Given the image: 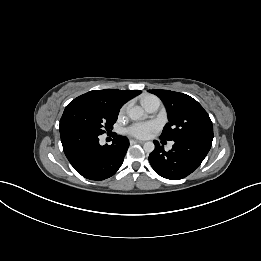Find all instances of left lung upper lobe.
<instances>
[{"mask_svg": "<svg viewBox=\"0 0 261 261\" xmlns=\"http://www.w3.org/2000/svg\"><path fill=\"white\" fill-rule=\"evenodd\" d=\"M164 103L169 122L160 136L164 140H213V126L208 113L192 97L169 90H148Z\"/></svg>", "mask_w": 261, "mask_h": 261, "instance_id": "left-lung-upper-lobe-1", "label": "left lung upper lobe"}]
</instances>
